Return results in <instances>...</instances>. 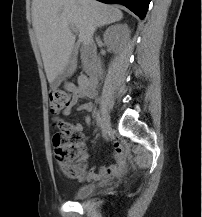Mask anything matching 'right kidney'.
I'll use <instances>...</instances> for the list:
<instances>
[{"label": "right kidney", "mask_w": 202, "mask_h": 217, "mask_svg": "<svg viewBox=\"0 0 202 217\" xmlns=\"http://www.w3.org/2000/svg\"><path fill=\"white\" fill-rule=\"evenodd\" d=\"M104 41L117 49L130 37V30L126 24H115L110 26L103 35Z\"/></svg>", "instance_id": "ca27d5eb"}]
</instances>
